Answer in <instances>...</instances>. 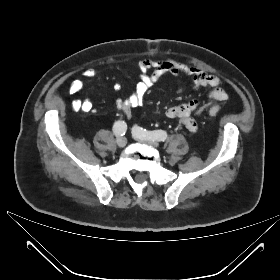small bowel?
I'll use <instances>...</instances> for the list:
<instances>
[{
    "instance_id": "obj_1",
    "label": "small bowel",
    "mask_w": 280,
    "mask_h": 280,
    "mask_svg": "<svg viewBox=\"0 0 280 280\" xmlns=\"http://www.w3.org/2000/svg\"><path fill=\"white\" fill-rule=\"evenodd\" d=\"M140 79L137 82L134 91L126 99L116 101L117 108L125 117L131 116L132 110L143 104L144 98L150 87L158 81L163 75L171 74L177 78L186 75L192 79L194 89L211 88L207 97L209 102L201 105L199 99L192 98L187 102L170 107L166 111V116L176 120L184 125L190 132H195L198 128L196 117L201 115L207 109L215 107V102L225 101L228 98L227 92L223 89V81L212 74H208L198 66H190L174 59H156L152 57L143 58L138 63ZM97 71L94 68H86L83 76L87 79L95 78ZM84 88V82L81 79L73 80L69 85L71 94H78ZM119 89V86H115ZM184 85L180 84L178 92H184ZM71 107L75 111L90 113L93 111V103L89 99H75L71 102Z\"/></svg>"
}]
</instances>
